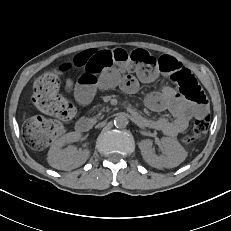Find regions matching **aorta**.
<instances>
[{"instance_id":"aorta-1","label":"aorta","mask_w":231,"mask_h":231,"mask_svg":"<svg viewBox=\"0 0 231 231\" xmlns=\"http://www.w3.org/2000/svg\"><path fill=\"white\" fill-rule=\"evenodd\" d=\"M128 124V119L124 115H118L114 119V125L117 128H125Z\"/></svg>"}]
</instances>
